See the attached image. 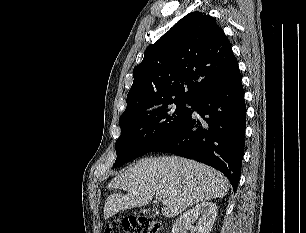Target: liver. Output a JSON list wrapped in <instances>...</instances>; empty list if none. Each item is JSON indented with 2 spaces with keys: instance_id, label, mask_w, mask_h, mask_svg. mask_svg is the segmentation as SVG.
Listing matches in <instances>:
<instances>
[{
  "instance_id": "liver-1",
  "label": "liver",
  "mask_w": 306,
  "mask_h": 233,
  "mask_svg": "<svg viewBox=\"0 0 306 233\" xmlns=\"http://www.w3.org/2000/svg\"><path fill=\"white\" fill-rule=\"evenodd\" d=\"M108 188L121 189L127 195L108 196L104 219L123 210L145 206L155 195L168 200L162 214L175 217L196 203L226 196L229 183L222 173L209 166L169 156L137 162L112 179Z\"/></svg>"
}]
</instances>
